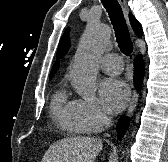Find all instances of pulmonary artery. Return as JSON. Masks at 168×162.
I'll return each mask as SVG.
<instances>
[{"mask_svg": "<svg viewBox=\"0 0 168 162\" xmlns=\"http://www.w3.org/2000/svg\"><path fill=\"white\" fill-rule=\"evenodd\" d=\"M100 67L107 74L117 75L123 70L122 59L114 53L106 54L100 60Z\"/></svg>", "mask_w": 168, "mask_h": 162, "instance_id": "obj_1", "label": "pulmonary artery"}]
</instances>
